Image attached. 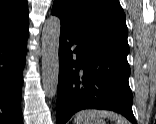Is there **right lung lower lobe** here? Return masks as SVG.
<instances>
[{
  "label": "right lung lower lobe",
  "instance_id": "right-lung-lower-lobe-1",
  "mask_svg": "<svg viewBox=\"0 0 156 124\" xmlns=\"http://www.w3.org/2000/svg\"><path fill=\"white\" fill-rule=\"evenodd\" d=\"M28 28L0 32V124H23L21 97Z\"/></svg>",
  "mask_w": 156,
  "mask_h": 124
}]
</instances>
